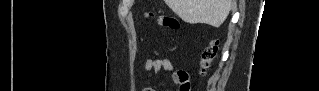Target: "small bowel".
Masks as SVG:
<instances>
[{"instance_id":"c3829d8e","label":"small bowel","mask_w":319,"mask_h":91,"mask_svg":"<svg viewBox=\"0 0 319 91\" xmlns=\"http://www.w3.org/2000/svg\"><path fill=\"white\" fill-rule=\"evenodd\" d=\"M174 68V63L172 60L167 59V58H162V59H148L145 62V69L150 71V70H172ZM179 74L175 73L173 75V79L175 82H178L179 80Z\"/></svg>"}]
</instances>
